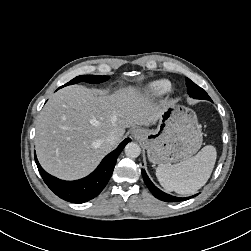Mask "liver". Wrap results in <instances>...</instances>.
Instances as JSON below:
<instances>
[{
  "label": "liver",
  "mask_w": 251,
  "mask_h": 251,
  "mask_svg": "<svg viewBox=\"0 0 251 251\" xmlns=\"http://www.w3.org/2000/svg\"><path fill=\"white\" fill-rule=\"evenodd\" d=\"M167 104L155 103L132 86L110 95L81 85L60 89L40 113L35 136L37 157L56 177L82 178L122 140L125 128L155 124ZM111 133L118 136L115 145L107 142Z\"/></svg>",
  "instance_id": "1"
}]
</instances>
